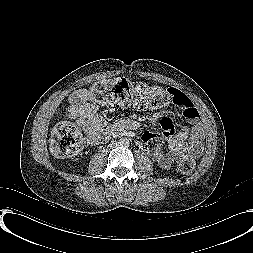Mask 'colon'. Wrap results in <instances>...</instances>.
Returning <instances> with one entry per match:
<instances>
[{"instance_id": "obj_1", "label": "colon", "mask_w": 253, "mask_h": 253, "mask_svg": "<svg viewBox=\"0 0 253 253\" xmlns=\"http://www.w3.org/2000/svg\"><path fill=\"white\" fill-rule=\"evenodd\" d=\"M90 95L104 105L151 109L173 102L177 93L170 88L148 87L132 84L125 79H113L95 84L90 90ZM82 144L80 130L70 122L58 124L51 137L52 152L59 158L77 154ZM178 167L181 172L189 173L194 169L195 162L191 157L184 156L179 159Z\"/></svg>"}]
</instances>
